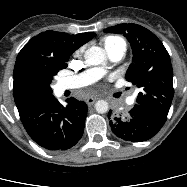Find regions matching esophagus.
I'll list each match as a JSON object with an SVG mask.
<instances>
[{
	"instance_id": "esophagus-1",
	"label": "esophagus",
	"mask_w": 187,
	"mask_h": 187,
	"mask_svg": "<svg viewBox=\"0 0 187 187\" xmlns=\"http://www.w3.org/2000/svg\"><path fill=\"white\" fill-rule=\"evenodd\" d=\"M96 100H97L96 98H87L86 103L87 105L91 106L96 102Z\"/></svg>"
}]
</instances>
